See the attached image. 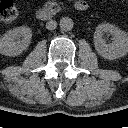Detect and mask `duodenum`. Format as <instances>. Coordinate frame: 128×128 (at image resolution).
<instances>
[{"mask_svg":"<svg viewBox=\"0 0 128 128\" xmlns=\"http://www.w3.org/2000/svg\"><path fill=\"white\" fill-rule=\"evenodd\" d=\"M74 8L79 12H83L88 9V4L85 0H77L74 3ZM36 16L39 20L49 21L53 18L54 14L51 10L47 8H40L37 10Z\"/></svg>","mask_w":128,"mask_h":128,"instance_id":"410a0bca","label":"duodenum"}]
</instances>
